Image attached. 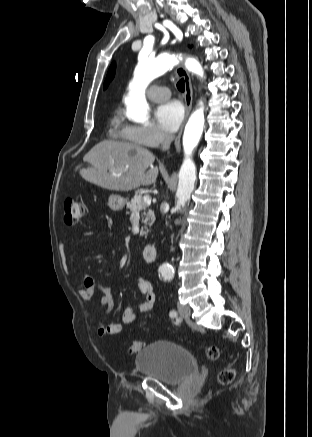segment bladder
I'll return each instance as SVG.
<instances>
[{
  "instance_id": "1",
  "label": "bladder",
  "mask_w": 312,
  "mask_h": 437,
  "mask_svg": "<svg viewBox=\"0 0 312 437\" xmlns=\"http://www.w3.org/2000/svg\"><path fill=\"white\" fill-rule=\"evenodd\" d=\"M135 362L143 377L170 385L181 384L199 371V363L189 350L166 340L145 346L136 355Z\"/></svg>"
}]
</instances>
